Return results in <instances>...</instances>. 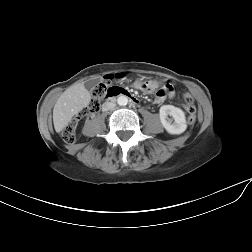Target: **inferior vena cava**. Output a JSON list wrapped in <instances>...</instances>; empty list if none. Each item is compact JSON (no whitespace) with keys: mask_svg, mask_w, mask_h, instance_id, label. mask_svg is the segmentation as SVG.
<instances>
[{"mask_svg":"<svg viewBox=\"0 0 252 252\" xmlns=\"http://www.w3.org/2000/svg\"><path fill=\"white\" fill-rule=\"evenodd\" d=\"M115 106H116V104L113 102H105L102 105V111L112 110L115 108Z\"/></svg>","mask_w":252,"mask_h":252,"instance_id":"602c4592","label":"inferior vena cava"}]
</instances>
